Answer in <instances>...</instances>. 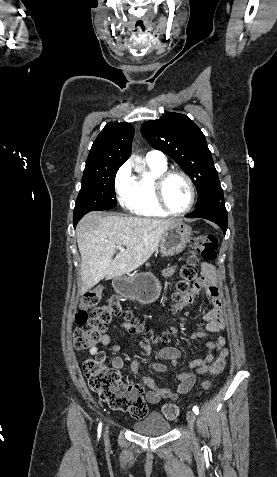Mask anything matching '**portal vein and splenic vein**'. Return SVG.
Returning <instances> with one entry per match:
<instances>
[{"label": "portal vein and splenic vein", "mask_w": 277, "mask_h": 477, "mask_svg": "<svg viewBox=\"0 0 277 477\" xmlns=\"http://www.w3.org/2000/svg\"><path fill=\"white\" fill-rule=\"evenodd\" d=\"M117 248H118L119 250H121V251H125V249L122 248L121 246H117Z\"/></svg>", "instance_id": "portal-vein-and-splenic-vein-1"}]
</instances>
